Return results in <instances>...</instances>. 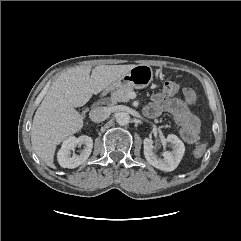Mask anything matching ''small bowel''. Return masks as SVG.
Segmentation results:
<instances>
[{"label":"small bowel","mask_w":241,"mask_h":241,"mask_svg":"<svg viewBox=\"0 0 241 241\" xmlns=\"http://www.w3.org/2000/svg\"><path fill=\"white\" fill-rule=\"evenodd\" d=\"M195 102V93L189 88L183 90V98H170L163 93H157L152 96L150 104L145 108V113L150 117H157L163 112H168L180 126L182 139L193 144L199 139L200 131L199 119L190 110Z\"/></svg>","instance_id":"small-bowel-1"}]
</instances>
